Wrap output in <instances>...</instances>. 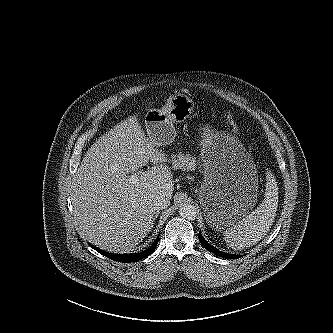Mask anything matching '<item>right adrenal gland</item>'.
I'll return each instance as SVG.
<instances>
[{"label":"right adrenal gland","instance_id":"1","mask_svg":"<svg viewBox=\"0 0 333 333\" xmlns=\"http://www.w3.org/2000/svg\"><path fill=\"white\" fill-rule=\"evenodd\" d=\"M158 215H159V211H157L156 213H154V216L152 218L151 228H153L154 222H155L156 218L158 217Z\"/></svg>","mask_w":333,"mask_h":333}]
</instances>
